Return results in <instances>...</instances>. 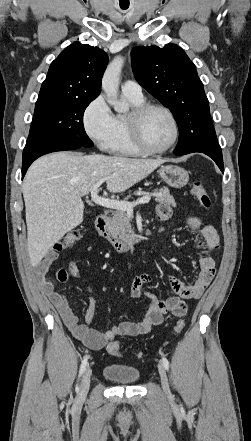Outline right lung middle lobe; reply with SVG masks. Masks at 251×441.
I'll return each instance as SVG.
<instances>
[{
    "instance_id": "right-lung-middle-lobe-1",
    "label": "right lung middle lobe",
    "mask_w": 251,
    "mask_h": 441,
    "mask_svg": "<svg viewBox=\"0 0 251 441\" xmlns=\"http://www.w3.org/2000/svg\"><path fill=\"white\" fill-rule=\"evenodd\" d=\"M94 99L37 101L28 138L92 147L93 142L84 130L83 114Z\"/></svg>"
}]
</instances>
